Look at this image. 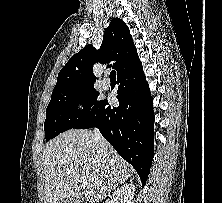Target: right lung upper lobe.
<instances>
[{
    "mask_svg": "<svg viewBox=\"0 0 222 203\" xmlns=\"http://www.w3.org/2000/svg\"><path fill=\"white\" fill-rule=\"evenodd\" d=\"M111 60L116 61L110 66L116 69L117 75L141 63L127 25L118 18L112 19L105 30L98 51L93 45H87L69 59L58 74L53 92L94 85L96 79L92 72L94 63L103 64Z\"/></svg>",
    "mask_w": 222,
    "mask_h": 203,
    "instance_id": "right-lung-upper-lobe-1",
    "label": "right lung upper lobe"
}]
</instances>
